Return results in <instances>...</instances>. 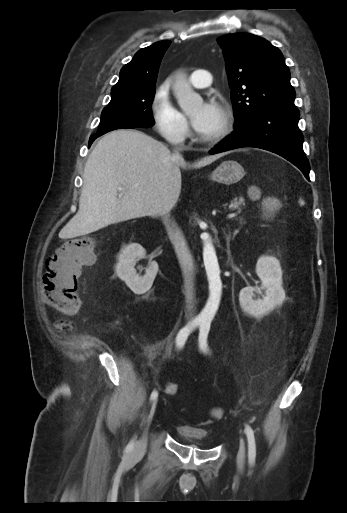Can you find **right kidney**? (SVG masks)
<instances>
[{
    "label": "right kidney",
    "instance_id": "1",
    "mask_svg": "<svg viewBox=\"0 0 347 513\" xmlns=\"http://www.w3.org/2000/svg\"><path fill=\"white\" fill-rule=\"evenodd\" d=\"M145 249L137 244H130L125 247L118 256V263L115 267L117 276L123 280L126 285L135 293L143 294L147 292L157 275L158 264L153 261L150 263L146 274L139 276L134 268L136 261L145 258Z\"/></svg>",
    "mask_w": 347,
    "mask_h": 513
}]
</instances>
